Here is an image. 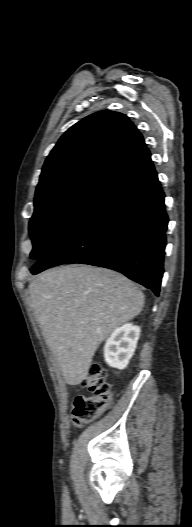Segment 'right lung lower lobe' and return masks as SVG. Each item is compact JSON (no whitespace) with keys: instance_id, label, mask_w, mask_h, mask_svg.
I'll use <instances>...</instances> for the list:
<instances>
[{"instance_id":"1","label":"right lung lower lobe","mask_w":192,"mask_h":527,"mask_svg":"<svg viewBox=\"0 0 192 527\" xmlns=\"http://www.w3.org/2000/svg\"><path fill=\"white\" fill-rule=\"evenodd\" d=\"M167 224L164 193L146 148L107 181L30 271L37 274L67 263L100 266L123 273L158 296Z\"/></svg>"}]
</instances>
